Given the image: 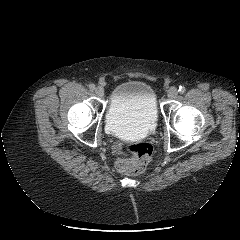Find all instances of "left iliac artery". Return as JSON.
<instances>
[{
  "mask_svg": "<svg viewBox=\"0 0 240 240\" xmlns=\"http://www.w3.org/2000/svg\"><path fill=\"white\" fill-rule=\"evenodd\" d=\"M178 91H179V93L183 94V93H185L186 88L183 86H180Z\"/></svg>",
  "mask_w": 240,
  "mask_h": 240,
  "instance_id": "1",
  "label": "left iliac artery"
}]
</instances>
